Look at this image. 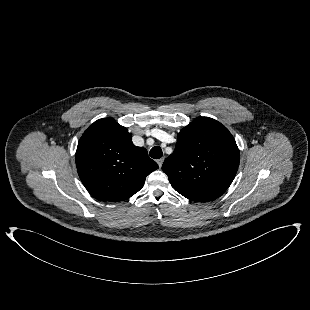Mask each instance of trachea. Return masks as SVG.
Here are the masks:
<instances>
[{"mask_svg": "<svg viewBox=\"0 0 310 310\" xmlns=\"http://www.w3.org/2000/svg\"><path fill=\"white\" fill-rule=\"evenodd\" d=\"M149 155L154 159H159L162 157L163 152L159 146H155L150 150Z\"/></svg>", "mask_w": 310, "mask_h": 310, "instance_id": "3493384b", "label": "trachea"}]
</instances>
